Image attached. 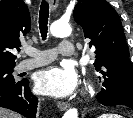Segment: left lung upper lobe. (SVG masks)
Wrapping results in <instances>:
<instances>
[{
	"instance_id": "obj_1",
	"label": "left lung upper lobe",
	"mask_w": 133,
	"mask_h": 118,
	"mask_svg": "<svg viewBox=\"0 0 133 118\" xmlns=\"http://www.w3.org/2000/svg\"><path fill=\"white\" fill-rule=\"evenodd\" d=\"M73 11L89 47L95 48V69L102 74L98 101L105 106L133 109V66L117 12L105 0H77Z\"/></svg>"
}]
</instances>
